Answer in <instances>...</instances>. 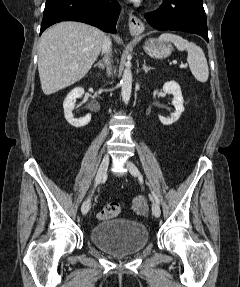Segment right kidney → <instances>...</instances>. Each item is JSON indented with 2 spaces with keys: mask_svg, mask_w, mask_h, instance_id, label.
Returning <instances> with one entry per match:
<instances>
[{
  "mask_svg": "<svg viewBox=\"0 0 240 287\" xmlns=\"http://www.w3.org/2000/svg\"><path fill=\"white\" fill-rule=\"evenodd\" d=\"M83 94L84 89L82 87H76L67 95L63 102L65 119L70 125L76 128L84 127L91 121V114H87L85 117L77 119L74 118L72 113L76 99L80 98Z\"/></svg>",
  "mask_w": 240,
  "mask_h": 287,
  "instance_id": "obj_1",
  "label": "right kidney"
}]
</instances>
